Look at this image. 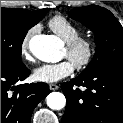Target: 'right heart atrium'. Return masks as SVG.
<instances>
[{"label": "right heart atrium", "mask_w": 123, "mask_h": 123, "mask_svg": "<svg viewBox=\"0 0 123 123\" xmlns=\"http://www.w3.org/2000/svg\"><path fill=\"white\" fill-rule=\"evenodd\" d=\"M36 31H37L36 26L29 29L21 42L20 53L22 57L28 61L32 59L30 51H29V40L32 37V35L36 33Z\"/></svg>", "instance_id": "obj_1"}]
</instances>
